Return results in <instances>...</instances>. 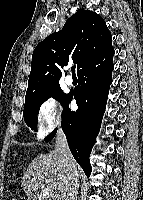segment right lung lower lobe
I'll use <instances>...</instances> for the list:
<instances>
[{"instance_id":"obj_1","label":"right lung lower lobe","mask_w":143,"mask_h":200,"mask_svg":"<svg viewBox=\"0 0 143 200\" xmlns=\"http://www.w3.org/2000/svg\"><path fill=\"white\" fill-rule=\"evenodd\" d=\"M114 49L86 63L78 72V86L63 102L62 127L71 153L89 177L91 164L89 156L97 137L105 112L109 87L112 83ZM75 98L78 109L71 111L69 103ZM56 129L45 138L51 140Z\"/></svg>"}]
</instances>
